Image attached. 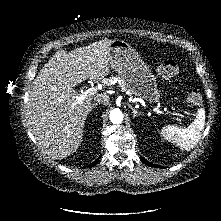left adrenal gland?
<instances>
[{"mask_svg": "<svg viewBox=\"0 0 221 221\" xmlns=\"http://www.w3.org/2000/svg\"><path fill=\"white\" fill-rule=\"evenodd\" d=\"M128 107L133 111V118L142 114V112H138L132 105L128 104Z\"/></svg>", "mask_w": 221, "mask_h": 221, "instance_id": "obj_1", "label": "left adrenal gland"}]
</instances>
